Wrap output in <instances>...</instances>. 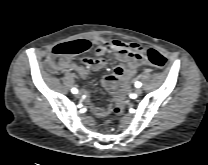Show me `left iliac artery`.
<instances>
[{"instance_id":"left-iliac-artery-1","label":"left iliac artery","mask_w":208,"mask_h":165,"mask_svg":"<svg viewBox=\"0 0 208 165\" xmlns=\"http://www.w3.org/2000/svg\"><path fill=\"white\" fill-rule=\"evenodd\" d=\"M141 85H142V84H141L140 82H136V83H135V87H137V88L141 87Z\"/></svg>"}]
</instances>
